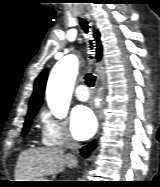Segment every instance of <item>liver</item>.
<instances>
[{"label":"liver","mask_w":160,"mask_h":187,"mask_svg":"<svg viewBox=\"0 0 160 187\" xmlns=\"http://www.w3.org/2000/svg\"><path fill=\"white\" fill-rule=\"evenodd\" d=\"M77 160L72 154H65L61 148H39L23 151L17 161L15 181L43 179L61 172L65 166L75 167Z\"/></svg>","instance_id":"6515ba94"}]
</instances>
